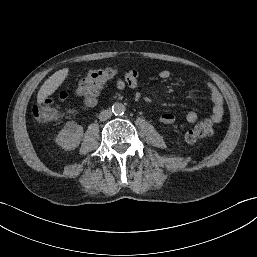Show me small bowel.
I'll return each mask as SVG.
<instances>
[{"mask_svg": "<svg viewBox=\"0 0 257 257\" xmlns=\"http://www.w3.org/2000/svg\"><path fill=\"white\" fill-rule=\"evenodd\" d=\"M159 76L162 79H169L172 76V71L170 69H163L159 73ZM138 85L139 78L138 71L136 69H132L131 71H129L124 79L118 78L116 81V86L119 89H124L126 87L135 89L138 87ZM203 85L208 92L212 103L211 119L214 122H220L224 114L223 97L212 82L205 80ZM197 118L198 115L194 111H190L186 114V121L188 123H195L197 121ZM159 121L164 125H172L175 122V116L172 113L165 112L160 115Z\"/></svg>", "mask_w": 257, "mask_h": 257, "instance_id": "small-bowel-1", "label": "small bowel"}]
</instances>
